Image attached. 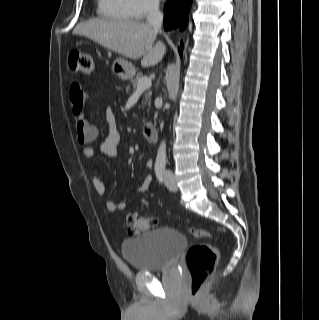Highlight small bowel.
I'll list each match as a JSON object with an SVG mask.
<instances>
[{
	"label": "small bowel",
	"mask_w": 319,
	"mask_h": 320,
	"mask_svg": "<svg viewBox=\"0 0 319 320\" xmlns=\"http://www.w3.org/2000/svg\"><path fill=\"white\" fill-rule=\"evenodd\" d=\"M70 107L74 118H83L88 127L92 128L94 131V138L98 134L97 128L86 120L84 105L86 101V94L82 90L79 83H74L71 86L69 93ZM106 121L108 125V131L105 135L101 145V152L108 157H115L118 153V148L121 143V134L116 127L115 116L111 109L106 110ZM83 155L86 159H92L95 156L94 148L91 146H86L83 148ZM152 162L148 160L145 163L146 168H150ZM91 184L94 191L101 197L105 196L106 188L103 181L96 174L92 175ZM150 181L148 177H145L141 184L134 189L135 194H142L149 190ZM105 208L108 212H120L124 211L126 208V203L124 201L115 202L113 200H105Z\"/></svg>",
	"instance_id": "c3829d8e"
}]
</instances>
